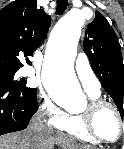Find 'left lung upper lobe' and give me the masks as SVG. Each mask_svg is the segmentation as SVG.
<instances>
[{
    "label": "left lung upper lobe",
    "instance_id": "obj_1",
    "mask_svg": "<svg viewBox=\"0 0 124 149\" xmlns=\"http://www.w3.org/2000/svg\"><path fill=\"white\" fill-rule=\"evenodd\" d=\"M84 51L104 90L111 96L123 118L124 64L121 47L113 28L98 11L95 19L87 25Z\"/></svg>",
    "mask_w": 124,
    "mask_h": 149
}]
</instances>
